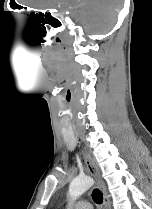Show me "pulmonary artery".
Returning a JSON list of instances; mask_svg holds the SVG:
<instances>
[{
	"instance_id": "pulmonary-artery-1",
	"label": "pulmonary artery",
	"mask_w": 152,
	"mask_h": 209,
	"mask_svg": "<svg viewBox=\"0 0 152 209\" xmlns=\"http://www.w3.org/2000/svg\"><path fill=\"white\" fill-rule=\"evenodd\" d=\"M73 209H92V205L87 201H79L74 205Z\"/></svg>"
}]
</instances>
